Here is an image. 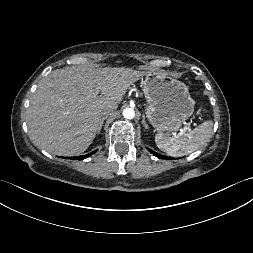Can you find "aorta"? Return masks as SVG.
Instances as JSON below:
<instances>
[{
  "label": "aorta",
  "instance_id": "aorta-1",
  "mask_svg": "<svg viewBox=\"0 0 253 253\" xmlns=\"http://www.w3.org/2000/svg\"><path fill=\"white\" fill-rule=\"evenodd\" d=\"M123 116L126 118V119H132L134 116H135V112L133 109L131 108H126L124 109L123 111Z\"/></svg>",
  "mask_w": 253,
  "mask_h": 253
}]
</instances>
